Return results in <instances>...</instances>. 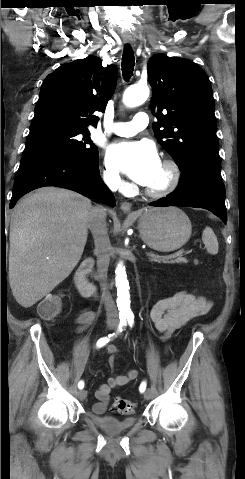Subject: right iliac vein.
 <instances>
[{"label":"right iliac vein","mask_w":245,"mask_h":479,"mask_svg":"<svg viewBox=\"0 0 245 479\" xmlns=\"http://www.w3.org/2000/svg\"><path fill=\"white\" fill-rule=\"evenodd\" d=\"M115 326H116V324L113 323V322H110V323L107 324V328H108V329H114ZM86 396H87V393H86L85 390H79V391H78V398H79L80 400H84V399L86 398Z\"/></svg>","instance_id":"1"}]
</instances>
